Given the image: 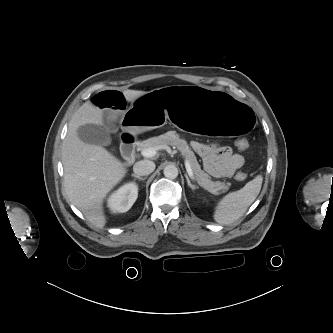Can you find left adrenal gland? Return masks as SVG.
<instances>
[{
	"mask_svg": "<svg viewBox=\"0 0 333 333\" xmlns=\"http://www.w3.org/2000/svg\"><path fill=\"white\" fill-rule=\"evenodd\" d=\"M185 177H186V180H187V184H188V186H189L192 190H195V189L197 188V186L191 184L190 179H189V177H188L187 175H185Z\"/></svg>",
	"mask_w": 333,
	"mask_h": 333,
	"instance_id": "obj_1",
	"label": "left adrenal gland"
}]
</instances>
